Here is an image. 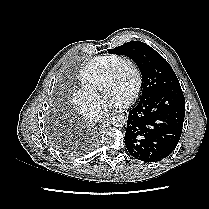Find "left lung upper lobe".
Returning a JSON list of instances; mask_svg holds the SVG:
<instances>
[{
    "mask_svg": "<svg viewBox=\"0 0 209 209\" xmlns=\"http://www.w3.org/2000/svg\"><path fill=\"white\" fill-rule=\"evenodd\" d=\"M109 53L131 58L142 73L143 91L140 100L164 89L180 85L170 64L153 48L141 41L127 42Z\"/></svg>",
    "mask_w": 209,
    "mask_h": 209,
    "instance_id": "left-lung-upper-lobe-1",
    "label": "left lung upper lobe"
}]
</instances>
